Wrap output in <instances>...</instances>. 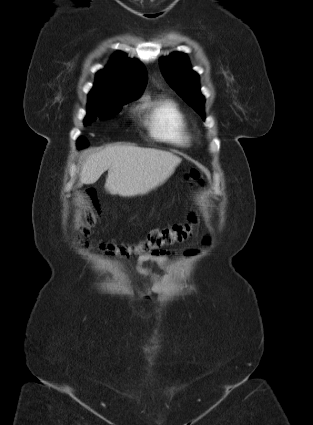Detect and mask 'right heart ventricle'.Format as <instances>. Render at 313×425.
Segmentation results:
<instances>
[{
  "label": "right heart ventricle",
  "mask_w": 313,
  "mask_h": 425,
  "mask_svg": "<svg viewBox=\"0 0 313 425\" xmlns=\"http://www.w3.org/2000/svg\"><path fill=\"white\" fill-rule=\"evenodd\" d=\"M142 108L146 113V125L155 139L176 146H185L192 139L188 120L171 100H147Z\"/></svg>",
  "instance_id": "1"
}]
</instances>
